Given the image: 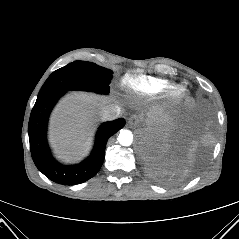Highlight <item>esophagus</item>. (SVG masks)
I'll list each match as a JSON object with an SVG mask.
<instances>
[{"instance_id": "esophagus-1", "label": "esophagus", "mask_w": 239, "mask_h": 239, "mask_svg": "<svg viewBox=\"0 0 239 239\" xmlns=\"http://www.w3.org/2000/svg\"><path fill=\"white\" fill-rule=\"evenodd\" d=\"M140 122V117L138 115H132L130 118H129V121L128 123L130 125H137L138 123Z\"/></svg>"}]
</instances>
